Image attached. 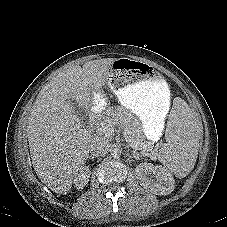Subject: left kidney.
<instances>
[{
  "instance_id": "obj_1",
  "label": "left kidney",
  "mask_w": 227,
  "mask_h": 227,
  "mask_svg": "<svg viewBox=\"0 0 227 227\" xmlns=\"http://www.w3.org/2000/svg\"><path fill=\"white\" fill-rule=\"evenodd\" d=\"M136 178L140 185L155 195L170 194L175 188V180L168 169L141 163L135 168Z\"/></svg>"
}]
</instances>
